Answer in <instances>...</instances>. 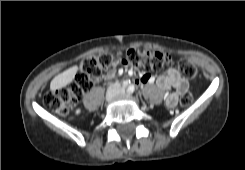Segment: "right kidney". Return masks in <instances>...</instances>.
Instances as JSON below:
<instances>
[{
  "instance_id": "right-kidney-1",
  "label": "right kidney",
  "mask_w": 245,
  "mask_h": 170,
  "mask_svg": "<svg viewBox=\"0 0 245 170\" xmlns=\"http://www.w3.org/2000/svg\"><path fill=\"white\" fill-rule=\"evenodd\" d=\"M80 112H81V110H80V109H77V110L75 111V114H76V115H79Z\"/></svg>"
}]
</instances>
